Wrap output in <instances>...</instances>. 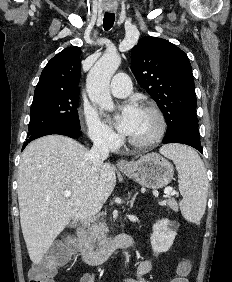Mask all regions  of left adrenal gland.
Listing matches in <instances>:
<instances>
[{"label": "left adrenal gland", "instance_id": "left-adrenal-gland-1", "mask_svg": "<svg viewBox=\"0 0 232 282\" xmlns=\"http://www.w3.org/2000/svg\"><path fill=\"white\" fill-rule=\"evenodd\" d=\"M136 196H133L132 199L130 200V206L132 207L134 204Z\"/></svg>", "mask_w": 232, "mask_h": 282}]
</instances>
